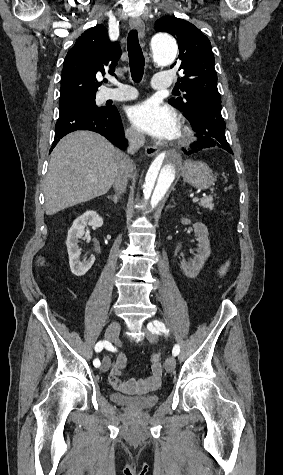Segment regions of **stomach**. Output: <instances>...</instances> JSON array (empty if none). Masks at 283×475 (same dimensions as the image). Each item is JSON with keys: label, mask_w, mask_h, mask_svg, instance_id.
Segmentation results:
<instances>
[{"label": "stomach", "mask_w": 283, "mask_h": 475, "mask_svg": "<svg viewBox=\"0 0 283 475\" xmlns=\"http://www.w3.org/2000/svg\"><path fill=\"white\" fill-rule=\"evenodd\" d=\"M181 174L184 182H188V184H191L194 188H200V190H207L215 180L211 168L205 162L186 160Z\"/></svg>", "instance_id": "obj_1"}]
</instances>
